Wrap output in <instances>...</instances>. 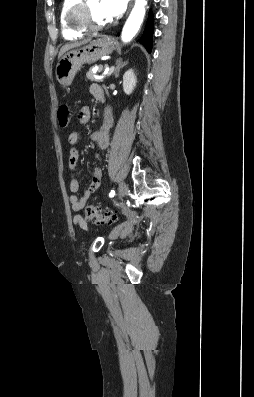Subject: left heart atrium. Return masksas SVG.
Wrapping results in <instances>:
<instances>
[{
    "label": "left heart atrium",
    "instance_id": "left-heart-atrium-1",
    "mask_svg": "<svg viewBox=\"0 0 254 397\" xmlns=\"http://www.w3.org/2000/svg\"><path fill=\"white\" fill-rule=\"evenodd\" d=\"M128 0H100L101 11L108 20L119 17L126 9Z\"/></svg>",
    "mask_w": 254,
    "mask_h": 397
}]
</instances>
